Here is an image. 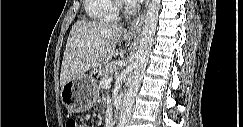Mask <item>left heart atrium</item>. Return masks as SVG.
<instances>
[{"label":"left heart atrium","mask_w":243,"mask_h":127,"mask_svg":"<svg viewBox=\"0 0 243 127\" xmlns=\"http://www.w3.org/2000/svg\"><path fill=\"white\" fill-rule=\"evenodd\" d=\"M137 1L136 0H129L128 1V3H130V4H134V3H136Z\"/></svg>","instance_id":"obj_1"}]
</instances>
